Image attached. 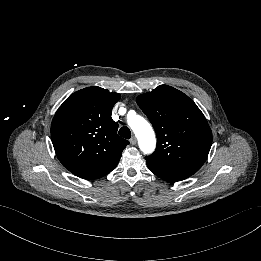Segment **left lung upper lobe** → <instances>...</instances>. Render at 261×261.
I'll use <instances>...</instances> for the list:
<instances>
[{
	"label": "left lung upper lobe",
	"instance_id": "1",
	"mask_svg": "<svg viewBox=\"0 0 261 261\" xmlns=\"http://www.w3.org/2000/svg\"><path fill=\"white\" fill-rule=\"evenodd\" d=\"M157 135L155 152L146 160L193 175L204 164L212 132L197 105L181 91L160 85L137 97Z\"/></svg>",
	"mask_w": 261,
	"mask_h": 261
}]
</instances>
